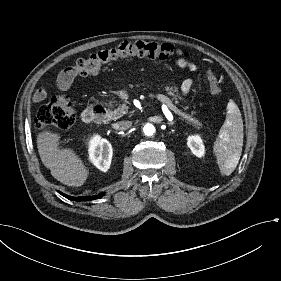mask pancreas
<instances>
[{"label":"pancreas","instance_id":"cf45deb5","mask_svg":"<svg viewBox=\"0 0 281 281\" xmlns=\"http://www.w3.org/2000/svg\"><path fill=\"white\" fill-rule=\"evenodd\" d=\"M165 90L168 91V95L173 96V100H175V103L177 104L178 103V99H181V97L177 93L178 92V88L177 87H171V88L165 87ZM175 92H176V94H175ZM166 98H168V97H166ZM185 109H187V107ZM127 110H128V106H126L125 104L120 105L117 109H115L113 111L111 119L115 121V120L121 118L124 114L127 113ZM192 113H194V112H192Z\"/></svg>","mask_w":281,"mask_h":281}]
</instances>
